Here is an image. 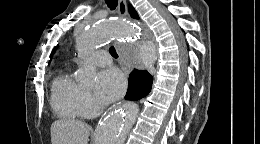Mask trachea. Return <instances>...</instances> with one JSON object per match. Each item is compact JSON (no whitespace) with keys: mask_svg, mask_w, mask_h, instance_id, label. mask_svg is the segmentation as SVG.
I'll use <instances>...</instances> for the list:
<instances>
[{"mask_svg":"<svg viewBox=\"0 0 260 144\" xmlns=\"http://www.w3.org/2000/svg\"><path fill=\"white\" fill-rule=\"evenodd\" d=\"M105 2L111 10H114L118 4V0H105ZM109 51H110V54L112 55V57H114V58L118 57L116 50L113 46L110 48Z\"/></svg>","mask_w":260,"mask_h":144,"instance_id":"3493384b","label":"trachea"}]
</instances>
